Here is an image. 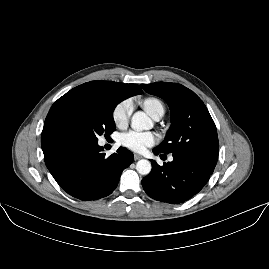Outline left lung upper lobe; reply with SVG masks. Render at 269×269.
<instances>
[{
    "mask_svg": "<svg viewBox=\"0 0 269 269\" xmlns=\"http://www.w3.org/2000/svg\"><path fill=\"white\" fill-rule=\"evenodd\" d=\"M141 86L146 92L162 98L171 111V126L157 148L166 154L216 165L219 151L217 130L203 101L177 83L156 82Z\"/></svg>",
    "mask_w": 269,
    "mask_h": 269,
    "instance_id": "obj_1",
    "label": "left lung upper lobe"
}]
</instances>
